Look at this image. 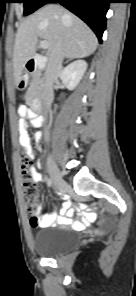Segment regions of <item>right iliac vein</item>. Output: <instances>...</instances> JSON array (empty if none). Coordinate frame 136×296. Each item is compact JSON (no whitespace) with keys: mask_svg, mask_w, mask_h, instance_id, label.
Returning <instances> with one entry per match:
<instances>
[{"mask_svg":"<svg viewBox=\"0 0 136 296\" xmlns=\"http://www.w3.org/2000/svg\"><path fill=\"white\" fill-rule=\"evenodd\" d=\"M47 167H48L51 181H52L54 188L55 189L66 188L67 184L62 179L61 173L51 157L48 158Z\"/></svg>","mask_w":136,"mask_h":296,"instance_id":"right-iliac-vein-1","label":"right iliac vein"}]
</instances>
